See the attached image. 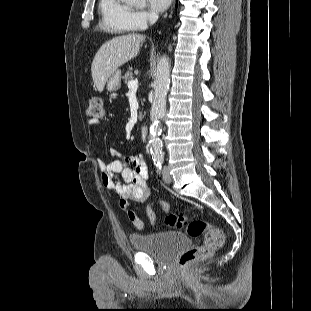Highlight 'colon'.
I'll list each match as a JSON object with an SVG mask.
<instances>
[{
    "instance_id": "1",
    "label": "colon",
    "mask_w": 311,
    "mask_h": 311,
    "mask_svg": "<svg viewBox=\"0 0 311 311\" xmlns=\"http://www.w3.org/2000/svg\"><path fill=\"white\" fill-rule=\"evenodd\" d=\"M86 115L89 120L93 121H100L103 118V102L99 97H92L89 100ZM165 222L173 228H185L187 234L192 238L204 235L203 245L185 251L180 257V265L183 267L209 258L224 245L225 237L222 230L203 219L189 220L184 215L167 214Z\"/></svg>"
}]
</instances>
